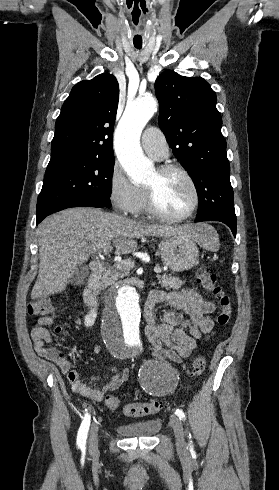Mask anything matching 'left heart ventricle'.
<instances>
[{"mask_svg":"<svg viewBox=\"0 0 279 490\" xmlns=\"http://www.w3.org/2000/svg\"><path fill=\"white\" fill-rule=\"evenodd\" d=\"M147 186L154 188L157 205L168 215H181L192 204L193 192L191 186L180 173H160L156 170L151 175Z\"/></svg>","mask_w":279,"mask_h":490,"instance_id":"left-heart-ventricle-1","label":"left heart ventricle"}]
</instances>
